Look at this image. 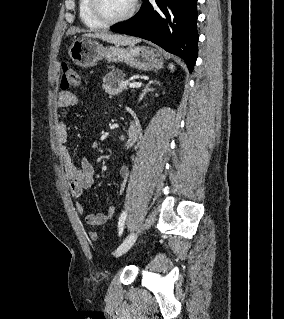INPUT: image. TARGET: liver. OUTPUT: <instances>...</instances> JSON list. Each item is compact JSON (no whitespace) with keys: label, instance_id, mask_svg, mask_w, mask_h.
I'll use <instances>...</instances> for the list:
<instances>
[{"label":"liver","instance_id":"1","mask_svg":"<svg viewBox=\"0 0 284 319\" xmlns=\"http://www.w3.org/2000/svg\"><path fill=\"white\" fill-rule=\"evenodd\" d=\"M83 36L89 37V38H98L116 45H123V46L134 45L140 42V39L138 38L128 37V36L119 35V34H109L107 32L86 33Z\"/></svg>","mask_w":284,"mask_h":319}]
</instances>
